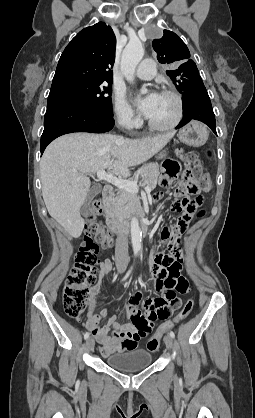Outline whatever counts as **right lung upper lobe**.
I'll return each mask as SVG.
<instances>
[{"label": "right lung upper lobe", "instance_id": "obj_1", "mask_svg": "<svg viewBox=\"0 0 255 418\" xmlns=\"http://www.w3.org/2000/svg\"><path fill=\"white\" fill-rule=\"evenodd\" d=\"M116 38L99 22L80 31L64 49L52 85L70 81L112 82Z\"/></svg>", "mask_w": 255, "mask_h": 418}]
</instances>
